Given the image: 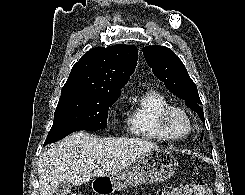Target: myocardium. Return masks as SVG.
<instances>
[{
  "instance_id": "1",
  "label": "myocardium",
  "mask_w": 245,
  "mask_h": 195,
  "mask_svg": "<svg viewBox=\"0 0 245 195\" xmlns=\"http://www.w3.org/2000/svg\"><path fill=\"white\" fill-rule=\"evenodd\" d=\"M172 113H179L186 118L188 125H189V129L185 135L176 136L171 132V130L168 126V120H169V117L171 116ZM157 126H158L159 131L162 133V135L167 140L182 141V140H185L187 137H189L190 134L192 133V131H193V120H192L190 114L184 108L177 106V105H168V106L164 107L162 110H160V112L158 113Z\"/></svg>"
}]
</instances>
